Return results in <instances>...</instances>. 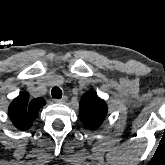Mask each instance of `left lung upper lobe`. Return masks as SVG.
Segmentation results:
<instances>
[{"label": "left lung upper lobe", "mask_w": 165, "mask_h": 165, "mask_svg": "<svg viewBox=\"0 0 165 165\" xmlns=\"http://www.w3.org/2000/svg\"><path fill=\"white\" fill-rule=\"evenodd\" d=\"M108 112L105 101L95 93H85L79 102V118L88 128H97L105 119Z\"/></svg>", "instance_id": "obj_1"}]
</instances>
